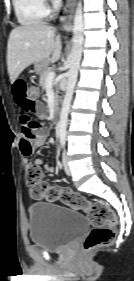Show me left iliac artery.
<instances>
[{
	"label": "left iliac artery",
	"instance_id": "left-iliac-artery-1",
	"mask_svg": "<svg viewBox=\"0 0 134 281\" xmlns=\"http://www.w3.org/2000/svg\"><path fill=\"white\" fill-rule=\"evenodd\" d=\"M61 145H62V147H64V145H65V138H61Z\"/></svg>",
	"mask_w": 134,
	"mask_h": 281
}]
</instances>
